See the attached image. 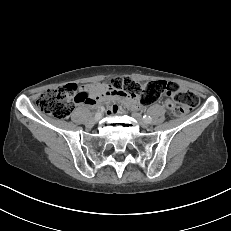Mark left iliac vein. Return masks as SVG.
Instances as JSON below:
<instances>
[{
  "mask_svg": "<svg viewBox=\"0 0 231 231\" xmlns=\"http://www.w3.org/2000/svg\"><path fill=\"white\" fill-rule=\"evenodd\" d=\"M133 117L137 120V122L139 123V125L142 128H147L149 126L148 122L145 121L140 114L138 113H133Z\"/></svg>",
  "mask_w": 231,
  "mask_h": 231,
  "instance_id": "obj_1",
  "label": "left iliac vein"
}]
</instances>
